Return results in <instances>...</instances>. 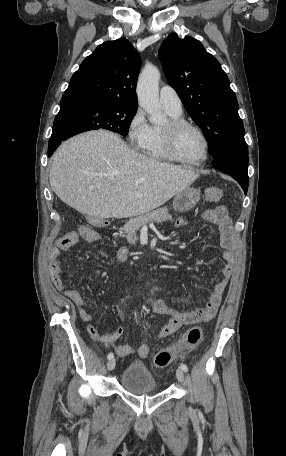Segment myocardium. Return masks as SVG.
I'll use <instances>...</instances> for the list:
<instances>
[{
  "instance_id": "myocardium-1",
  "label": "myocardium",
  "mask_w": 286,
  "mask_h": 456,
  "mask_svg": "<svg viewBox=\"0 0 286 456\" xmlns=\"http://www.w3.org/2000/svg\"><path fill=\"white\" fill-rule=\"evenodd\" d=\"M184 128H191L199 133L204 143V155L198 160H185L178 156L175 151V137L178 131ZM162 149L166 157L172 161L179 162L185 165L199 166L204 164L210 153V142L201 127L193 122L181 118H172L166 127L161 129Z\"/></svg>"
}]
</instances>
